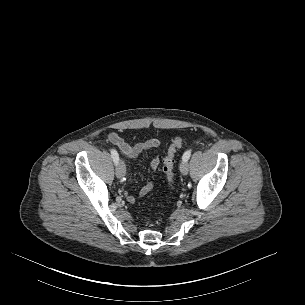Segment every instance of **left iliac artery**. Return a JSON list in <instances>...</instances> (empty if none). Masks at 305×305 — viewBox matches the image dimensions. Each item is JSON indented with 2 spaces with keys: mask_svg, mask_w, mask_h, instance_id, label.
I'll use <instances>...</instances> for the list:
<instances>
[{
  "mask_svg": "<svg viewBox=\"0 0 305 305\" xmlns=\"http://www.w3.org/2000/svg\"><path fill=\"white\" fill-rule=\"evenodd\" d=\"M191 156V150H187L184 154H183V161H188V159L190 158Z\"/></svg>",
  "mask_w": 305,
  "mask_h": 305,
  "instance_id": "left-iliac-artery-1",
  "label": "left iliac artery"
}]
</instances>
